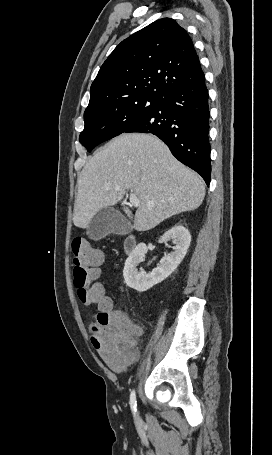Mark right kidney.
<instances>
[{
	"mask_svg": "<svg viewBox=\"0 0 272 455\" xmlns=\"http://www.w3.org/2000/svg\"><path fill=\"white\" fill-rule=\"evenodd\" d=\"M161 242L172 240L174 251L165 255L160 265L147 274L143 269L138 270L137 265L143 261L148 248L145 243H139L125 262L123 276L127 286L144 292L165 280L179 266L190 246L191 235L187 228L176 225L164 233Z\"/></svg>",
	"mask_w": 272,
	"mask_h": 455,
	"instance_id": "right-kidney-1",
	"label": "right kidney"
}]
</instances>
